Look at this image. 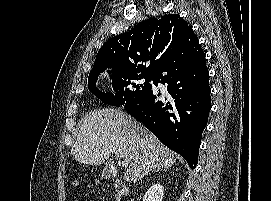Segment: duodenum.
Returning a JSON list of instances; mask_svg holds the SVG:
<instances>
[{
  "instance_id": "obj_1",
  "label": "duodenum",
  "mask_w": 271,
  "mask_h": 201,
  "mask_svg": "<svg viewBox=\"0 0 271 201\" xmlns=\"http://www.w3.org/2000/svg\"><path fill=\"white\" fill-rule=\"evenodd\" d=\"M114 188H115L116 193H117V201H123V199L127 195V187H126V185L122 181L116 180L114 182Z\"/></svg>"
}]
</instances>
